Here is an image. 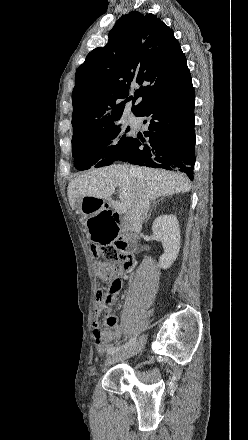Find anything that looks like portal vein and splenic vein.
Returning <instances> with one entry per match:
<instances>
[{"label":"portal vein and splenic vein","instance_id":"1","mask_svg":"<svg viewBox=\"0 0 248 440\" xmlns=\"http://www.w3.org/2000/svg\"><path fill=\"white\" fill-rule=\"evenodd\" d=\"M115 209H116L117 211H120V212H125V211H126L125 206H124L122 203H117V204L115 205Z\"/></svg>","mask_w":248,"mask_h":440}]
</instances>
